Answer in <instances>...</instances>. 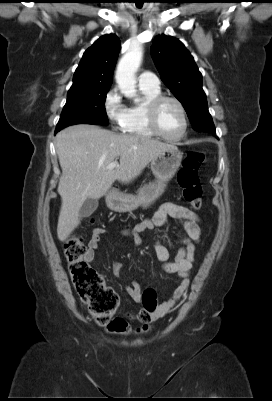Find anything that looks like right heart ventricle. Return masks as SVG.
Returning <instances> with one entry per match:
<instances>
[{
	"instance_id": "right-heart-ventricle-1",
	"label": "right heart ventricle",
	"mask_w": 272,
	"mask_h": 401,
	"mask_svg": "<svg viewBox=\"0 0 272 401\" xmlns=\"http://www.w3.org/2000/svg\"><path fill=\"white\" fill-rule=\"evenodd\" d=\"M140 90L144 99L141 103L131 105L127 109L126 120L121 130L132 136L152 138L156 135L150 129L148 124L147 107L152 99L161 95V90L160 88L150 89L142 87H140Z\"/></svg>"
}]
</instances>
